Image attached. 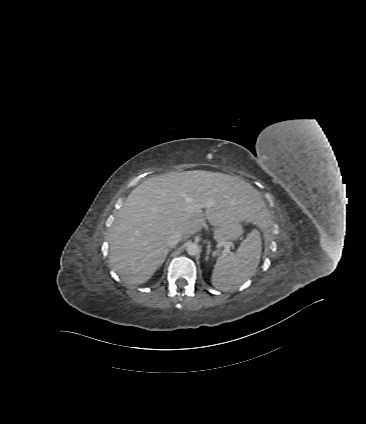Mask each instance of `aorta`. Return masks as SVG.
Returning <instances> with one entry per match:
<instances>
[{
	"label": "aorta",
	"instance_id": "1",
	"mask_svg": "<svg viewBox=\"0 0 366 424\" xmlns=\"http://www.w3.org/2000/svg\"><path fill=\"white\" fill-rule=\"evenodd\" d=\"M186 251L189 255L196 256V255H199L201 248L196 243H188L186 246Z\"/></svg>",
	"mask_w": 366,
	"mask_h": 424
}]
</instances>
